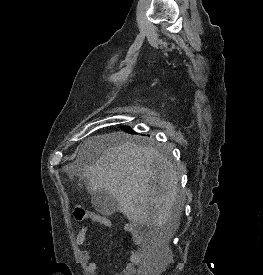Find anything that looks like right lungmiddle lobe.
Listing matches in <instances>:
<instances>
[{"label":"right lung middle lobe","mask_w":263,"mask_h":275,"mask_svg":"<svg viewBox=\"0 0 263 275\" xmlns=\"http://www.w3.org/2000/svg\"><path fill=\"white\" fill-rule=\"evenodd\" d=\"M120 129H122L126 133L135 134V132L128 126H121Z\"/></svg>","instance_id":"1"}]
</instances>
